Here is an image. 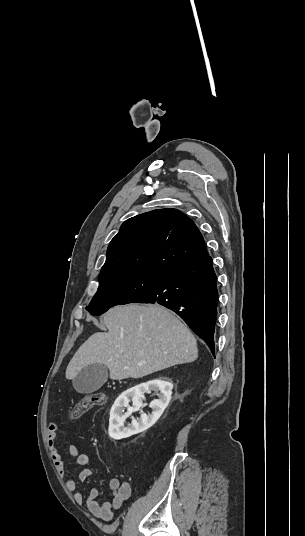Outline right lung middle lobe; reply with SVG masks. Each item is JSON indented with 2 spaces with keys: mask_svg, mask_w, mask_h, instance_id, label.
<instances>
[{
  "mask_svg": "<svg viewBox=\"0 0 305 536\" xmlns=\"http://www.w3.org/2000/svg\"><path fill=\"white\" fill-rule=\"evenodd\" d=\"M167 274L134 272L99 280V287L86 310L97 316L109 308L133 303L156 287Z\"/></svg>",
  "mask_w": 305,
  "mask_h": 536,
  "instance_id": "dd1d6c3e",
  "label": "right lung middle lobe"
}]
</instances>
